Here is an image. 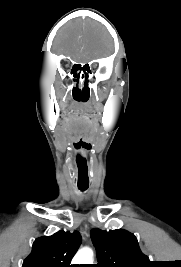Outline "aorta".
Wrapping results in <instances>:
<instances>
[{
	"instance_id": "obj_1",
	"label": "aorta",
	"mask_w": 181,
	"mask_h": 267,
	"mask_svg": "<svg viewBox=\"0 0 181 267\" xmlns=\"http://www.w3.org/2000/svg\"><path fill=\"white\" fill-rule=\"evenodd\" d=\"M74 264H92L93 251L89 247L80 249L73 258Z\"/></svg>"
}]
</instances>
